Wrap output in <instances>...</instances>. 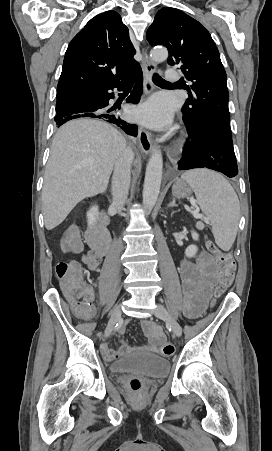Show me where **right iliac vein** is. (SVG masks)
Here are the masks:
<instances>
[{
	"label": "right iliac vein",
	"mask_w": 272,
	"mask_h": 451,
	"mask_svg": "<svg viewBox=\"0 0 272 451\" xmlns=\"http://www.w3.org/2000/svg\"><path fill=\"white\" fill-rule=\"evenodd\" d=\"M120 317H121V308H120V306H116L111 313L108 325L105 330L106 337L110 336V334L112 333V331L115 327V324L118 322Z\"/></svg>",
	"instance_id": "63e3f726"
}]
</instances>
